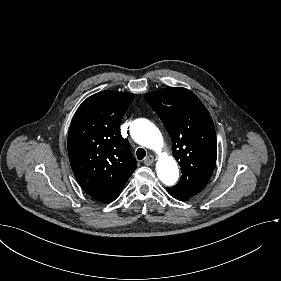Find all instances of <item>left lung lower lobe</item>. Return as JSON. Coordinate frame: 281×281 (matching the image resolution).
Returning a JSON list of instances; mask_svg holds the SVG:
<instances>
[{"mask_svg": "<svg viewBox=\"0 0 281 281\" xmlns=\"http://www.w3.org/2000/svg\"><path fill=\"white\" fill-rule=\"evenodd\" d=\"M167 192L172 196L174 197L175 199H178V200H187L189 199L190 197L186 194H182V193H179V192H176L174 191L172 188H166Z\"/></svg>", "mask_w": 281, "mask_h": 281, "instance_id": "left-lung-lower-lobe-1", "label": "left lung lower lobe"}]
</instances>
